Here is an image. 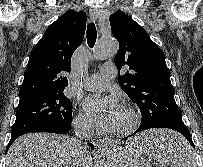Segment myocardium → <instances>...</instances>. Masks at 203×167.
I'll return each mask as SVG.
<instances>
[{
	"label": "myocardium",
	"mask_w": 203,
	"mask_h": 167,
	"mask_svg": "<svg viewBox=\"0 0 203 167\" xmlns=\"http://www.w3.org/2000/svg\"><path fill=\"white\" fill-rule=\"evenodd\" d=\"M125 112L129 117V124L122 129H117V130L113 129L112 133L116 136H120V137L128 136L131 133H133L139 125L140 116L136 110H134L133 108H127Z\"/></svg>",
	"instance_id": "obj_1"
}]
</instances>
